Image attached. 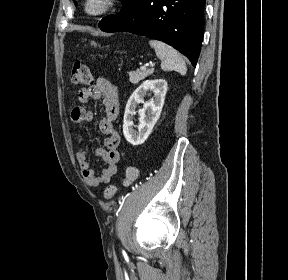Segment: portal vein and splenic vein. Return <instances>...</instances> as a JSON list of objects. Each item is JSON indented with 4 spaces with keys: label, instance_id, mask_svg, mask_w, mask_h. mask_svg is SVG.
Instances as JSON below:
<instances>
[{
    "label": "portal vein and splenic vein",
    "instance_id": "obj_1",
    "mask_svg": "<svg viewBox=\"0 0 288 280\" xmlns=\"http://www.w3.org/2000/svg\"><path fill=\"white\" fill-rule=\"evenodd\" d=\"M148 66H154V64L153 63L146 64V65L142 66L140 69L145 70L146 67H148Z\"/></svg>",
    "mask_w": 288,
    "mask_h": 280
}]
</instances>
